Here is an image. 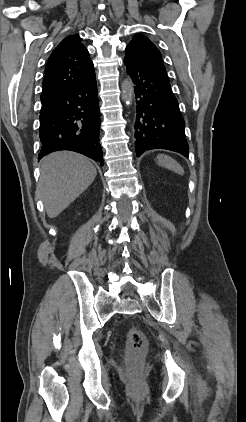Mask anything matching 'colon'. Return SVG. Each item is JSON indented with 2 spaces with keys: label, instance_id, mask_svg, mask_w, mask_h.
Returning <instances> with one entry per match:
<instances>
[{
  "label": "colon",
  "instance_id": "5ec220e1",
  "mask_svg": "<svg viewBox=\"0 0 246 422\" xmlns=\"http://www.w3.org/2000/svg\"><path fill=\"white\" fill-rule=\"evenodd\" d=\"M147 350V339L144 333L132 328L129 330L126 342V357L131 366H137L143 360Z\"/></svg>",
  "mask_w": 246,
  "mask_h": 422
}]
</instances>
